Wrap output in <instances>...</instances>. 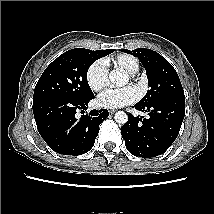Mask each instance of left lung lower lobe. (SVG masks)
<instances>
[{"label": "left lung lower lobe", "instance_id": "1", "mask_svg": "<svg viewBox=\"0 0 214 214\" xmlns=\"http://www.w3.org/2000/svg\"><path fill=\"white\" fill-rule=\"evenodd\" d=\"M134 107L147 112L149 118L129 114L127 123L121 127L127 150L143 158L163 154L179 134L185 116V99H162Z\"/></svg>", "mask_w": 214, "mask_h": 214}]
</instances>
